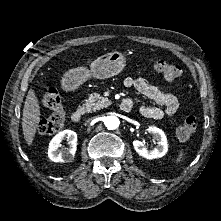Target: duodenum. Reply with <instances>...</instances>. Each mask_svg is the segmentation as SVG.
<instances>
[{
	"instance_id": "obj_1",
	"label": "duodenum",
	"mask_w": 221,
	"mask_h": 221,
	"mask_svg": "<svg viewBox=\"0 0 221 221\" xmlns=\"http://www.w3.org/2000/svg\"><path fill=\"white\" fill-rule=\"evenodd\" d=\"M120 108L122 111L128 112L131 110L132 107L129 102L124 101L121 103ZM83 114H84V110L82 108L76 109L71 115L72 122H75V123L79 122L82 119Z\"/></svg>"
}]
</instances>
